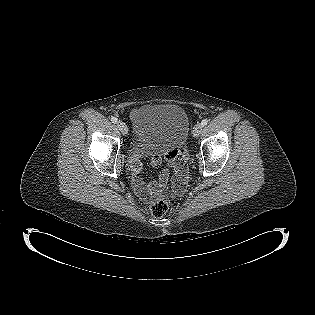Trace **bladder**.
<instances>
[{
	"mask_svg": "<svg viewBox=\"0 0 315 315\" xmlns=\"http://www.w3.org/2000/svg\"><path fill=\"white\" fill-rule=\"evenodd\" d=\"M186 111L172 104L140 107L133 118V146L142 152H161L182 147L189 135Z\"/></svg>",
	"mask_w": 315,
	"mask_h": 315,
	"instance_id": "31cf9c89",
	"label": "bladder"
}]
</instances>
